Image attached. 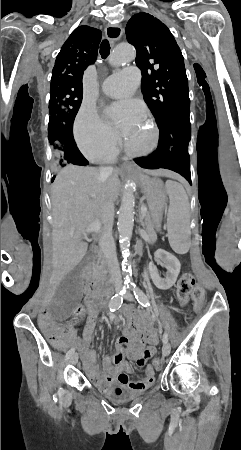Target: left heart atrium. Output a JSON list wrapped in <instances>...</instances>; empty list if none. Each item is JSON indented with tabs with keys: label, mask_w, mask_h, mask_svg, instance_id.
<instances>
[{
	"label": "left heart atrium",
	"mask_w": 241,
	"mask_h": 450,
	"mask_svg": "<svg viewBox=\"0 0 241 450\" xmlns=\"http://www.w3.org/2000/svg\"><path fill=\"white\" fill-rule=\"evenodd\" d=\"M132 104H133V103H119V104H116V105H115L114 109H115V111H117V112H124V111H126ZM139 109H140V111H142V108H139Z\"/></svg>",
	"instance_id": "1"
}]
</instances>
